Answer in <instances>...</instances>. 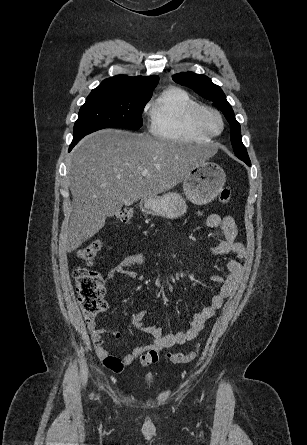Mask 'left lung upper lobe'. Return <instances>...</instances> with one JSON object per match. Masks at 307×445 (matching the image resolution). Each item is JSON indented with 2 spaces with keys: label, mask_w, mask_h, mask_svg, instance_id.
I'll use <instances>...</instances> for the list:
<instances>
[{
  "label": "left lung upper lobe",
  "mask_w": 307,
  "mask_h": 445,
  "mask_svg": "<svg viewBox=\"0 0 307 445\" xmlns=\"http://www.w3.org/2000/svg\"><path fill=\"white\" fill-rule=\"evenodd\" d=\"M172 78L176 83L187 86L203 98L211 100L213 104L223 112L231 125L230 138L235 155L239 159H243L244 162L250 163L246 148L241 140L240 124L235 119L232 107L227 102L226 96L221 88L212 83L211 79L207 76L193 72L176 74Z\"/></svg>",
  "instance_id": "1"
}]
</instances>
